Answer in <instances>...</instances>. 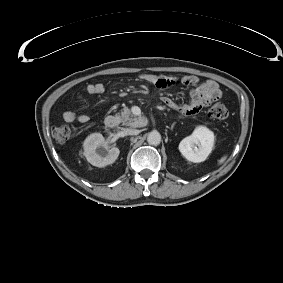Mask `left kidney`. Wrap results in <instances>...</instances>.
Wrapping results in <instances>:
<instances>
[{
  "label": "left kidney",
  "instance_id": "left-kidney-1",
  "mask_svg": "<svg viewBox=\"0 0 283 283\" xmlns=\"http://www.w3.org/2000/svg\"><path fill=\"white\" fill-rule=\"evenodd\" d=\"M214 146V133L207 127L198 126L190 136L179 144L181 154L194 163L203 162Z\"/></svg>",
  "mask_w": 283,
  "mask_h": 283
}]
</instances>
